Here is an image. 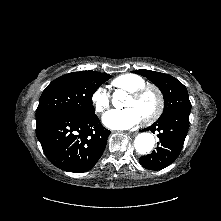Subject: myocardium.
<instances>
[{
  "instance_id": "obj_1",
  "label": "myocardium",
  "mask_w": 221,
  "mask_h": 221,
  "mask_svg": "<svg viewBox=\"0 0 221 221\" xmlns=\"http://www.w3.org/2000/svg\"><path fill=\"white\" fill-rule=\"evenodd\" d=\"M148 92H153L155 94L156 99H157V105H156L155 110L150 115L143 118V122L146 124L153 123L163 113L164 105H165L163 93L158 87L154 85H148V84L129 93V96L133 97L134 99H139Z\"/></svg>"
}]
</instances>
